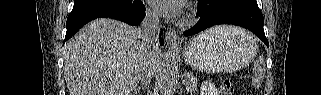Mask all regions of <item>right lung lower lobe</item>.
I'll return each mask as SVG.
<instances>
[{"instance_id":"right-lung-lower-lobe-1","label":"right lung lower lobe","mask_w":321,"mask_h":95,"mask_svg":"<svg viewBox=\"0 0 321 95\" xmlns=\"http://www.w3.org/2000/svg\"><path fill=\"white\" fill-rule=\"evenodd\" d=\"M100 17H109L137 26L145 17V8L142 1H138L136 5L129 8L108 6L73 10L67 18V32L64 42L71 38L83 25ZM160 44L163 45L162 40Z\"/></svg>"}]
</instances>
